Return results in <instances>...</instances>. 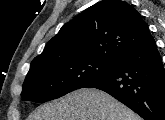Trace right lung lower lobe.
<instances>
[{"mask_svg": "<svg viewBox=\"0 0 165 120\" xmlns=\"http://www.w3.org/2000/svg\"><path fill=\"white\" fill-rule=\"evenodd\" d=\"M84 87L103 90L145 120H165V70L154 39L119 59Z\"/></svg>", "mask_w": 165, "mask_h": 120, "instance_id": "right-lung-lower-lobe-1", "label": "right lung lower lobe"}]
</instances>
